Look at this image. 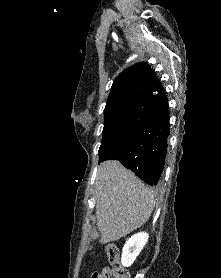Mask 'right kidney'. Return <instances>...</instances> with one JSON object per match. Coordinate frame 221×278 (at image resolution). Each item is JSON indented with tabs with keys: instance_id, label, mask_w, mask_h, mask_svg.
<instances>
[{
	"instance_id": "1",
	"label": "right kidney",
	"mask_w": 221,
	"mask_h": 278,
	"mask_svg": "<svg viewBox=\"0 0 221 278\" xmlns=\"http://www.w3.org/2000/svg\"><path fill=\"white\" fill-rule=\"evenodd\" d=\"M149 235L145 232H140L133 235L127 240L122 250L121 263L125 267L133 264L145 244L147 243Z\"/></svg>"
}]
</instances>
